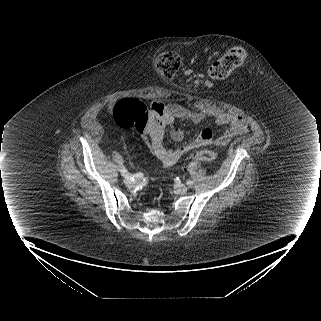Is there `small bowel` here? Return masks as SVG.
<instances>
[{
    "mask_svg": "<svg viewBox=\"0 0 321 321\" xmlns=\"http://www.w3.org/2000/svg\"><path fill=\"white\" fill-rule=\"evenodd\" d=\"M206 114L203 111L190 110L181 105L165 104L161 101H154L149 107V119L145 128V133L150 139V148L152 154L161 162V164L170 168L178 160L194 147L205 145L203 140L208 136L212 138L211 145L223 146L232 139L247 132V123L245 119L238 115L220 112L215 116V123L220 126H228V129L219 135H215L211 129H204L196 140L176 149H169L163 142L164 132L167 126L171 125L177 119L189 120L194 124L204 121ZM170 137L173 141L179 142L184 138V132L179 128H173L170 131Z\"/></svg>",
    "mask_w": 321,
    "mask_h": 321,
    "instance_id": "obj_1",
    "label": "small bowel"
}]
</instances>
